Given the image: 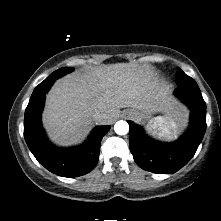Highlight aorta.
I'll list each match as a JSON object with an SVG mask.
<instances>
[{
	"label": "aorta",
	"instance_id": "aorta-1",
	"mask_svg": "<svg viewBox=\"0 0 221 221\" xmlns=\"http://www.w3.org/2000/svg\"><path fill=\"white\" fill-rule=\"evenodd\" d=\"M114 130L118 135H125L129 132V125L126 121H117L114 125Z\"/></svg>",
	"mask_w": 221,
	"mask_h": 221
}]
</instances>
